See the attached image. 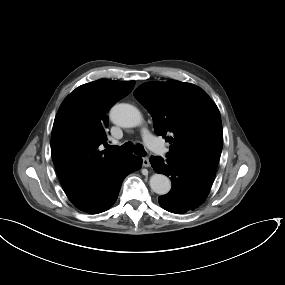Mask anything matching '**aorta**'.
I'll list each match as a JSON object with an SVG mask.
<instances>
[{"label": "aorta", "instance_id": "obj_1", "mask_svg": "<svg viewBox=\"0 0 285 285\" xmlns=\"http://www.w3.org/2000/svg\"><path fill=\"white\" fill-rule=\"evenodd\" d=\"M110 119L114 124L125 128L137 127L143 121L141 112L135 106L126 103L116 104L110 111ZM149 185L153 192L159 195H165L171 189L169 178L163 174H153Z\"/></svg>", "mask_w": 285, "mask_h": 285}]
</instances>
